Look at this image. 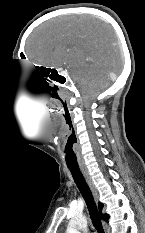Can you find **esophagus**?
<instances>
[{
  "mask_svg": "<svg viewBox=\"0 0 145 233\" xmlns=\"http://www.w3.org/2000/svg\"><path fill=\"white\" fill-rule=\"evenodd\" d=\"M81 171H82V174H83V176H84V178H85V180H86V182H87V184H88L91 192L93 193L94 197L97 199V191H96V188L94 186V183L92 181V178H91L88 170L82 168Z\"/></svg>",
  "mask_w": 145,
  "mask_h": 233,
  "instance_id": "obj_1",
  "label": "esophagus"
}]
</instances>
